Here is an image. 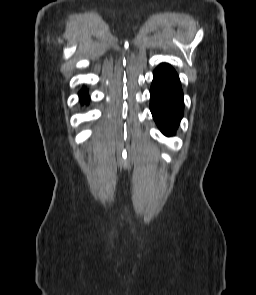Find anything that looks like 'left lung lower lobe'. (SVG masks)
<instances>
[{
	"mask_svg": "<svg viewBox=\"0 0 256 295\" xmlns=\"http://www.w3.org/2000/svg\"><path fill=\"white\" fill-rule=\"evenodd\" d=\"M150 110L161 132L173 135L183 117L184 103L179 77L168 64H160L153 72Z\"/></svg>",
	"mask_w": 256,
	"mask_h": 295,
	"instance_id": "obj_1",
	"label": "left lung lower lobe"
}]
</instances>
